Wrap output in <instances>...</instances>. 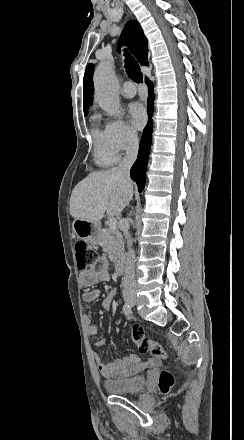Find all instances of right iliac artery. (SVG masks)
Returning <instances> with one entry per match:
<instances>
[{
  "label": "right iliac artery",
  "instance_id": "1",
  "mask_svg": "<svg viewBox=\"0 0 244 440\" xmlns=\"http://www.w3.org/2000/svg\"><path fill=\"white\" fill-rule=\"evenodd\" d=\"M123 312H124L125 315H129L132 312L131 307H130L129 304H124Z\"/></svg>",
  "mask_w": 244,
  "mask_h": 440
}]
</instances>
